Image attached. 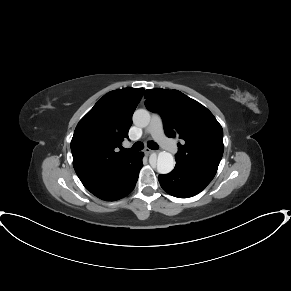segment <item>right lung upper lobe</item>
I'll list each match as a JSON object with an SVG mask.
<instances>
[{
    "instance_id": "right-lung-upper-lobe-1",
    "label": "right lung upper lobe",
    "mask_w": 291,
    "mask_h": 291,
    "mask_svg": "<svg viewBox=\"0 0 291 291\" xmlns=\"http://www.w3.org/2000/svg\"><path fill=\"white\" fill-rule=\"evenodd\" d=\"M143 88L105 94L79 121L71 141L73 166L82 183L108 177L129 164L136 153L117 152L132 125Z\"/></svg>"
}]
</instances>
